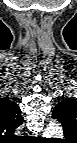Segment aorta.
I'll list each match as a JSON object with an SVG mask.
<instances>
[{
	"instance_id": "1",
	"label": "aorta",
	"mask_w": 77,
	"mask_h": 143,
	"mask_svg": "<svg viewBox=\"0 0 77 143\" xmlns=\"http://www.w3.org/2000/svg\"><path fill=\"white\" fill-rule=\"evenodd\" d=\"M62 132V128L58 123H50L44 131L45 135H55Z\"/></svg>"
}]
</instances>
